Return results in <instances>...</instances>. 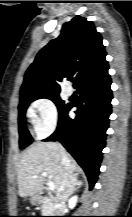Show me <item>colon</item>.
Instances as JSON below:
<instances>
[{"label": "colon", "instance_id": "5ec220e1", "mask_svg": "<svg viewBox=\"0 0 132 217\" xmlns=\"http://www.w3.org/2000/svg\"><path fill=\"white\" fill-rule=\"evenodd\" d=\"M23 217H32V216H23Z\"/></svg>", "mask_w": 132, "mask_h": 217}]
</instances>
